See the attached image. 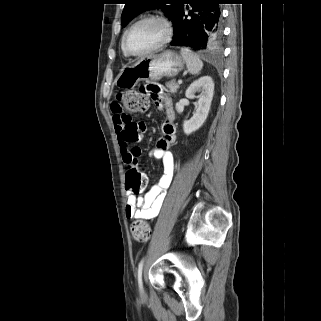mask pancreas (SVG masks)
<instances>
[{"label": "pancreas", "instance_id": "pancreas-1", "mask_svg": "<svg viewBox=\"0 0 321 321\" xmlns=\"http://www.w3.org/2000/svg\"><path fill=\"white\" fill-rule=\"evenodd\" d=\"M166 87L169 89L171 93H176L179 89V84L172 80L166 83Z\"/></svg>", "mask_w": 321, "mask_h": 321}]
</instances>
